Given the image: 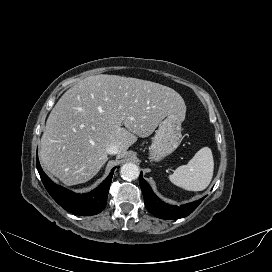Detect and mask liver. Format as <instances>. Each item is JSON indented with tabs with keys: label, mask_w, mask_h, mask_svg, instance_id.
Masks as SVG:
<instances>
[{
	"label": "liver",
	"mask_w": 272,
	"mask_h": 272,
	"mask_svg": "<svg viewBox=\"0 0 272 272\" xmlns=\"http://www.w3.org/2000/svg\"><path fill=\"white\" fill-rule=\"evenodd\" d=\"M173 113L184 120L186 105L172 88L132 77L89 76L52 109L41 138V164L68 186L87 182L108 160V146L117 145V157H124L138 137L150 136Z\"/></svg>",
	"instance_id": "obj_1"
}]
</instances>
